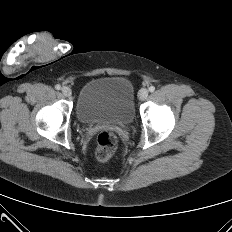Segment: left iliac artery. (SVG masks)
Returning a JSON list of instances; mask_svg holds the SVG:
<instances>
[{
	"label": "left iliac artery",
	"instance_id": "left-iliac-artery-1",
	"mask_svg": "<svg viewBox=\"0 0 232 232\" xmlns=\"http://www.w3.org/2000/svg\"><path fill=\"white\" fill-rule=\"evenodd\" d=\"M149 91H150V92H154V91H155V87H154V86H150V87H149Z\"/></svg>",
	"mask_w": 232,
	"mask_h": 232
}]
</instances>
